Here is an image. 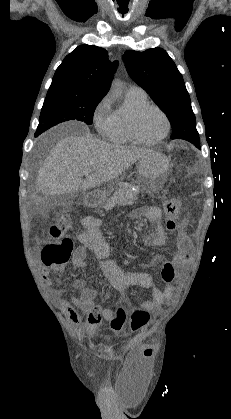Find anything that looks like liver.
<instances>
[{
  "label": "liver",
  "mask_w": 231,
  "mask_h": 419,
  "mask_svg": "<svg viewBox=\"0 0 231 419\" xmlns=\"http://www.w3.org/2000/svg\"><path fill=\"white\" fill-rule=\"evenodd\" d=\"M149 149L110 144L86 136L61 139L49 152L38 174L36 189L45 197L89 190L124 173ZM90 170L83 180L81 173Z\"/></svg>",
  "instance_id": "6515ba94"
}]
</instances>
